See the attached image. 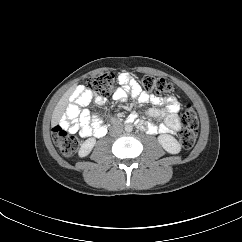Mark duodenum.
Returning a JSON list of instances; mask_svg holds the SVG:
<instances>
[{
  "label": "duodenum",
  "mask_w": 242,
  "mask_h": 242,
  "mask_svg": "<svg viewBox=\"0 0 242 242\" xmlns=\"http://www.w3.org/2000/svg\"><path fill=\"white\" fill-rule=\"evenodd\" d=\"M117 122L116 121H114V124H116ZM106 133V129L105 130H102V132H101V135H104Z\"/></svg>",
  "instance_id": "obj_1"
}]
</instances>
